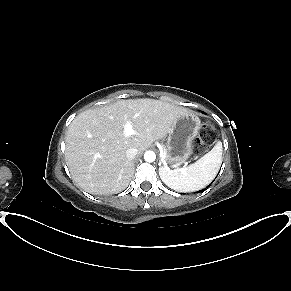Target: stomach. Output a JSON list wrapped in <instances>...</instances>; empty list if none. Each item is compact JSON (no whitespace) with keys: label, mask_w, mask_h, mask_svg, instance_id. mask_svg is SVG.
<instances>
[{"label":"stomach","mask_w":291,"mask_h":291,"mask_svg":"<svg viewBox=\"0 0 291 291\" xmlns=\"http://www.w3.org/2000/svg\"><path fill=\"white\" fill-rule=\"evenodd\" d=\"M200 119L194 113L180 116L172 130L164 148L165 167L167 164L180 165L192 154V141L200 129Z\"/></svg>","instance_id":"1"}]
</instances>
